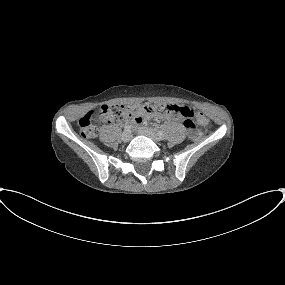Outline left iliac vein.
Segmentation results:
<instances>
[{"instance_id": "left-iliac-vein-1", "label": "left iliac vein", "mask_w": 285, "mask_h": 285, "mask_svg": "<svg viewBox=\"0 0 285 285\" xmlns=\"http://www.w3.org/2000/svg\"><path fill=\"white\" fill-rule=\"evenodd\" d=\"M138 131L140 134L151 138L155 142L159 140V137L157 136V134L150 128L142 127V128H139Z\"/></svg>"}]
</instances>
